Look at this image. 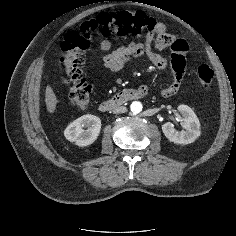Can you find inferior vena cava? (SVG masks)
<instances>
[{
	"label": "inferior vena cava",
	"mask_w": 236,
	"mask_h": 236,
	"mask_svg": "<svg viewBox=\"0 0 236 236\" xmlns=\"http://www.w3.org/2000/svg\"><path fill=\"white\" fill-rule=\"evenodd\" d=\"M127 112V108L125 106H120L117 107L113 110V113L118 114V113H125Z\"/></svg>",
	"instance_id": "1"
}]
</instances>
